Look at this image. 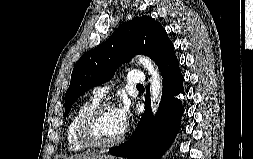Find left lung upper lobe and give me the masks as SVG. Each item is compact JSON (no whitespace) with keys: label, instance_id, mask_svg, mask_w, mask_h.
I'll return each mask as SVG.
<instances>
[{"label":"left lung upper lobe","instance_id":"5c2ea615","mask_svg":"<svg viewBox=\"0 0 253 159\" xmlns=\"http://www.w3.org/2000/svg\"><path fill=\"white\" fill-rule=\"evenodd\" d=\"M135 54L151 57L159 69L174 55V45L154 18L137 16L122 23L102 45L86 52L74 66L65 94L67 115L75 100L90 88L109 81Z\"/></svg>","mask_w":253,"mask_h":159}]
</instances>
